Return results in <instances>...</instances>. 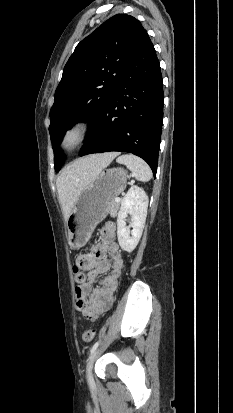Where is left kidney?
<instances>
[{
	"instance_id": "left-kidney-1",
	"label": "left kidney",
	"mask_w": 233,
	"mask_h": 413,
	"mask_svg": "<svg viewBox=\"0 0 233 413\" xmlns=\"http://www.w3.org/2000/svg\"><path fill=\"white\" fill-rule=\"evenodd\" d=\"M148 202L147 194L138 186H132L121 202L117 218V237L120 247L126 252H132L139 243L147 216ZM128 214L132 218L129 227L126 226Z\"/></svg>"
}]
</instances>
